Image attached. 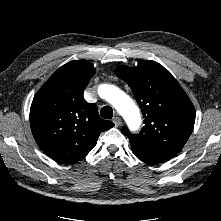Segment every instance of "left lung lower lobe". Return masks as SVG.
<instances>
[{"label":"left lung lower lobe","mask_w":221,"mask_h":221,"mask_svg":"<svg viewBox=\"0 0 221 221\" xmlns=\"http://www.w3.org/2000/svg\"><path fill=\"white\" fill-rule=\"evenodd\" d=\"M130 140V144L132 147V151L135 154V156L148 164H158L164 161H168L171 158L166 157L164 155L158 154L153 152L152 150H150L149 148H147L146 146L142 145L141 143L133 140V139H129Z\"/></svg>","instance_id":"0a47b994"}]
</instances>
